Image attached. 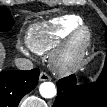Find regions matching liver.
Segmentation results:
<instances>
[{"instance_id":"6515ba94","label":"liver","mask_w":107,"mask_h":107,"mask_svg":"<svg viewBox=\"0 0 107 107\" xmlns=\"http://www.w3.org/2000/svg\"><path fill=\"white\" fill-rule=\"evenodd\" d=\"M4 53L1 51V61H3Z\"/></svg>"}]
</instances>
